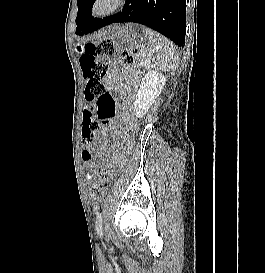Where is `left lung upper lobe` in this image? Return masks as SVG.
I'll return each instance as SVG.
<instances>
[{
    "label": "left lung upper lobe",
    "instance_id": "5c2ea615",
    "mask_svg": "<svg viewBox=\"0 0 265 273\" xmlns=\"http://www.w3.org/2000/svg\"><path fill=\"white\" fill-rule=\"evenodd\" d=\"M95 0H77L78 13L76 18V33L79 31L81 25L83 24L84 19L92 14V7Z\"/></svg>",
    "mask_w": 265,
    "mask_h": 273
}]
</instances>
